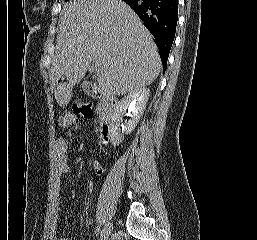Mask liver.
I'll use <instances>...</instances> for the list:
<instances>
[{
  "label": "liver",
  "instance_id": "6515ba94",
  "mask_svg": "<svg viewBox=\"0 0 257 240\" xmlns=\"http://www.w3.org/2000/svg\"><path fill=\"white\" fill-rule=\"evenodd\" d=\"M50 85L59 106L71 100L73 87L91 62L100 65L99 88L124 95L150 85L161 60L152 35L122 0H73L59 17ZM66 77V82H59Z\"/></svg>",
  "mask_w": 257,
  "mask_h": 240
}]
</instances>
